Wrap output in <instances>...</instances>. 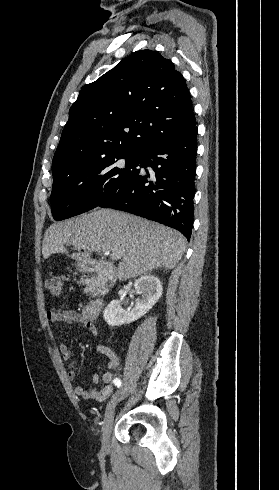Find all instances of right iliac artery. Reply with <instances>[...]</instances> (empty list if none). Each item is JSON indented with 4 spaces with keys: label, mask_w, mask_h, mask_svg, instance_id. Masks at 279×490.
Listing matches in <instances>:
<instances>
[{
    "label": "right iliac artery",
    "mask_w": 279,
    "mask_h": 490,
    "mask_svg": "<svg viewBox=\"0 0 279 490\" xmlns=\"http://www.w3.org/2000/svg\"><path fill=\"white\" fill-rule=\"evenodd\" d=\"M114 383H115V385H117V387H120L121 386V378L119 376H116L114 378Z\"/></svg>",
    "instance_id": "1"
}]
</instances>
